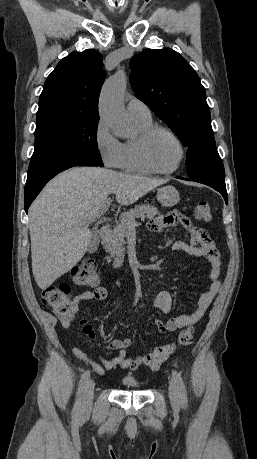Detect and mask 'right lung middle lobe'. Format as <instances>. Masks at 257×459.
<instances>
[{"mask_svg": "<svg viewBox=\"0 0 257 459\" xmlns=\"http://www.w3.org/2000/svg\"><path fill=\"white\" fill-rule=\"evenodd\" d=\"M35 150L31 159L56 154H80L103 166L97 149L99 117L50 110L36 114Z\"/></svg>", "mask_w": 257, "mask_h": 459, "instance_id": "1", "label": "right lung middle lobe"}]
</instances>
